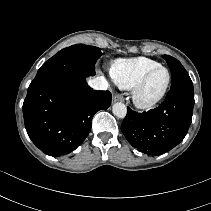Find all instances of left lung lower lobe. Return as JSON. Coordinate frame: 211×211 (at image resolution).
Returning a JSON list of instances; mask_svg holds the SVG:
<instances>
[{
    "label": "left lung lower lobe",
    "mask_w": 211,
    "mask_h": 211,
    "mask_svg": "<svg viewBox=\"0 0 211 211\" xmlns=\"http://www.w3.org/2000/svg\"><path fill=\"white\" fill-rule=\"evenodd\" d=\"M193 106V90L171 89L154 110L138 113L127 108L121 130L139 151L160 155L184 139L192 121Z\"/></svg>",
    "instance_id": "obj_1"
}]
</instances>
